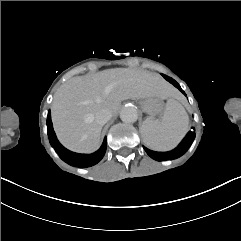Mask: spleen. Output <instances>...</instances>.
<instances>
[{"label": "spleen", "instance_id": "1", "mask_svg": "<svg viewBox=\"0 0 241 241\" xmlns=\"http://www.w3.org/2000/svg\"><path fill=\"white\" fill-rule=\"evenodd\" d=\"M189 131V116L183 105L174 99L166 103L161 120L147 118L140 127L142 141L155 151L174 149Z\"/></svg>", "mask_w": 241, "mask_h": 241}]
</instances>
